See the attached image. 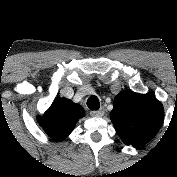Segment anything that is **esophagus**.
I'll return each mask as SVG.
<instances>
[{
  "instance_id": "esophagus-1",
  "label": "esophagus",
  "mask_w": 177,
  "mask_h": 177,
  "mask_svg": "<svg viewBox=\"0 0 177 177\" xmlns=\"http://www.w3.org/2000/svg\"><path fill=\"white\" fill-rule=\"evenodd\" d=\"M90 114L91 116L94 117H102L104 115V108H101L100 110L97 111H91Z\"/></svg>"
}]
</instances>
